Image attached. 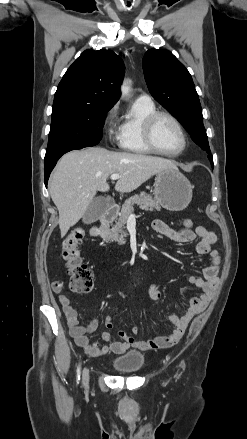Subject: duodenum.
I'll return each mask as SVG.
<instances>
[{"instance_id": "obj_1", "label": "duodenum", "mask_w": 247, "mask_h": 439, "mask_svg": "<svg viewBox=\"0 0 247 439\" xmlns=\"http://www.w3.org/2000/svg\"><path fill=\"white\" fill-rule=\"evenodd\" d=\"M117 212L118 206L116 204H111L108 209L100 216L98 223L92 226L90 230L91 235L104 242L105 227L116 217Z\"/></svg>"}]
</instances>
